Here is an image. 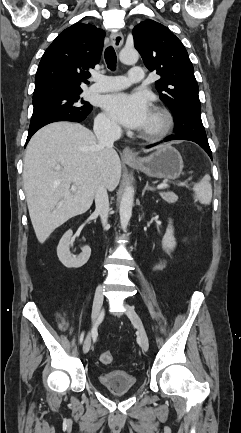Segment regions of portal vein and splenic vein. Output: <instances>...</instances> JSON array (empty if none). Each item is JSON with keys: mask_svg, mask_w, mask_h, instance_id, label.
Returning <instances> with one entry per match:
<instances>
[{"mask_svg": "<svg viewBox=\"0 0 241 433\" xmlns=\"http://www.w3.org/2000/svg\"><path fill=\"white\" fill-rule=\"evenodd\" d=\"M168 187V185L166 184V183H162V184H159L158 186H157V189H159V190H162V189H165V188H167ZM77 190V187L73 184L72 186H71V191L72 192H75Z\"/></svg>", "mask_w": 241, "mask_h": 433, "instance_id": "obj_1", "label": "portal vein and splenic vein"}]
</instances>
